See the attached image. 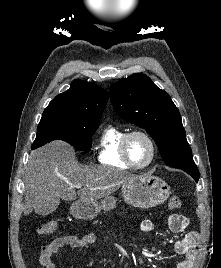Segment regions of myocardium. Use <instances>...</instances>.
<instances>
[{
  "label": "myocardium",
  "mask_w": 221,
  "mask_h": 268,
  "mask_svg": "<svg viewBox=\"0 0 221 268\" xmlns=\"http://www.w3.org/2000/svg\"><path fill=\"white\" fill-rule=\"evenodd\" d=\"M136 135H139V136L144 137L148 141V143L150 145V148H151L150 158L143 165H137V164H135L131 160V158L129 156V152H128V144H129V141H130V139L132 137H134ZM156 152H157V148H156L155 141L152 138V136L149 133H147L146 131H143V130H132V131L127 132L124 135V137L122 138V141H121V155H122V158L127 163V165L129 167L133 168V169H144V168L150 166L152 164V162L154 161V159H155Z\"/></svg>",
  "instance_id": "1"
}]
</instances>
